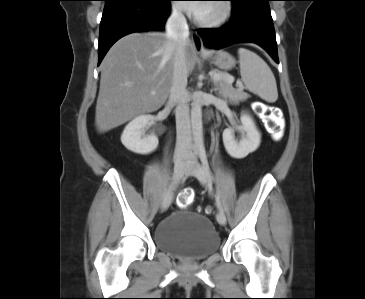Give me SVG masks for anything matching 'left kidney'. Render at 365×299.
<instances>
[{"label":"left kidney","mask_w":365,"mask_h":299,"mask_svg":"<svg viewBox=\"0 0 365 299\" xmlns=\"http://www.w3.org/2000/svg\"><path fill=\"white\" fill-rule=\"evenodd\" d=\"M240 121L241 126L227 128L223 132V143L227 153L237 159H242L254 152L261 143V134L257 130L253 118L248 114H242ZM235 129L243 134L239 141L235 139Z\"/></svg>","instance_id":"obj_1"}]
</instances>
